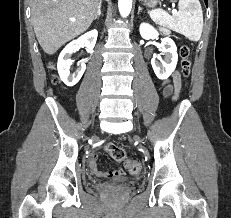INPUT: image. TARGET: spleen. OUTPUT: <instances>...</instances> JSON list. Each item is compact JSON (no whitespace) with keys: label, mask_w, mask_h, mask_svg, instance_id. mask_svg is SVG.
Masks as SVG:
<instances>
[{"label":"spleen","mask_w":231,"mask_h":218,"mask_svg":"<svg viewBox=\"0 0 231 218\" xmlns=\"http://www.w3.org/2000/svg\"><path fill=\"white\" fill-rule=\"evenodd\" d=\"M150 18L191 41H198L203 30V12L199 0H179L178 12L169 15L162 9L149 11Z\"/></svg>","instance_id":"3e777b00"}]
</instances>
